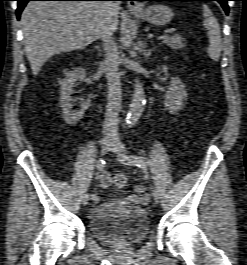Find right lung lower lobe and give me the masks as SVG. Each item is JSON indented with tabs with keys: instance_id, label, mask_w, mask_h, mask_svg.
Returning <instances> with one entry per match:
<instances>
[{
	"instance_id": "98d812e1",
	"label": "right lung lower lobe",
	"mask_w": 247,
	"mask_h": 265,
	"mask_svg": "<svg viewBox=\"0 0 247 265\" xmlns=\"http://www.w3.org/2000/svg\"><path fill=\"white\" fill-rule=\"evenodd\" d=\"M18 1V8L16 10L17 19L20 18V14L28 3V1H104V0H17ZM114 1H125V0H114Z\"/></svg>"
}]
</instances>
